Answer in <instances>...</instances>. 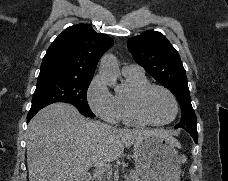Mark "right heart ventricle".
<instances>
[{
	"mask_svg": "<svg viewBox=\"0 0 228 181\" xmlns=\"http://www.w3.org/2000/svg\"><path fill=\"white\" fill-rule=\"evenodd\" d=\"M108 80L110 82L119 80L115 94L118 118L127 124H142L133 112L132 103L136 92L149 84L147 78L144 75H129L126 70L117 67V73H114L112 77L108 76Z\"/></svg>",
	"mask_w": 228,
	"mask_h": 181,
	"instance_id": "obj_1",
	"label": "right heart ventricle"
}]
</instances>
